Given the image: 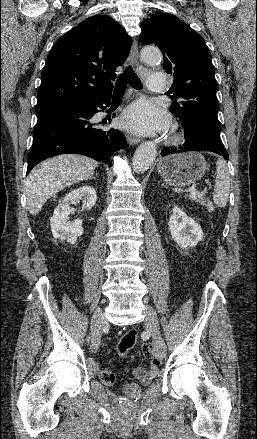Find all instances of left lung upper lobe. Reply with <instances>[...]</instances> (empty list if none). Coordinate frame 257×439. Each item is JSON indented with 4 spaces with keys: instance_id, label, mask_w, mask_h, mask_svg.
I'll list each match as a JSON object with an SVG mask.
<instances>
[{
    "instance_id": "1",
    "label": "left lung upper lobe",
    "mask_w": 257,
    "mask_h": 439,
    "mask_svg": "<svg viewBox=\"0 0 257 439\" xmlns=\"http://www.w3.org/2000/svg\"><path fill=\"white\" fill-rule=\"evenodd\" d=\"M140 41L161 49L165 71L174 77L170 111L183 123L199 121L220 133L218 86L204 39L176 16L156 13L142 22Z\"/></svg>"
}]
</instances>
